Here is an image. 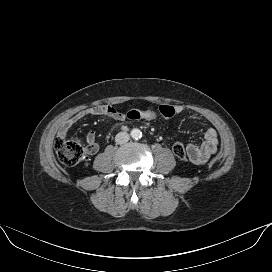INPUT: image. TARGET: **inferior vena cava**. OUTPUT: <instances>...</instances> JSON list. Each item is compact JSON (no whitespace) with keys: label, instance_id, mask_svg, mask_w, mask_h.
<instances>
[{"label":"inferior vena cava","instance_id":"1","mask_svg":"<svg viewBox=\"0 0 272 272\" xmlns=\"http://www.w3.org/2000/svg\"><path fill=\"white\" fill-rule=\"evenodd\" d=\"M130 139V136L127 132H119L115 137V142L117 144H124L128 142Z\"/></svg>","mask_w":272,"mask_h":272}]
</instances>
